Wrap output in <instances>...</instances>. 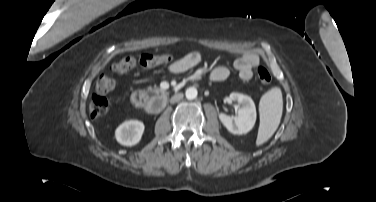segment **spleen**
Segmentation results:
<instances>
[{"label":"spleen","mask_w":376,"mask_h":202,"mask_svg":"<svg viewBox=\"0 0 376 202\" xmlns=\"http://www.w3.org/2000/svg\"><path fill=\"white\" fill-rule=\"evenodd\" d=\"M283 101L280 88L275 87L266 92L259 105L260 126L256 145L265 143L276 131L282 116Z\"/></svg>","instance_id":"obj_1"}]
</instances>
